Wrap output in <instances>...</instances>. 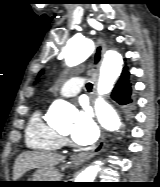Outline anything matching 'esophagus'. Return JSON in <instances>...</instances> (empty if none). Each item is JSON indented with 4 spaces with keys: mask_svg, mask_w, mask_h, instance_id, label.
<instances>
[{
    "mask_svg": "<svg viewBox=\"0 0 160 187\" xmlns=\"http://www.w3.org/2000/svg\"><path fill=\"white\" fill-rule=\"evenodd\" d=\"M105 50H106V45L104 41L102 39H98L96 42V48H95V52L93 56L91 69H90V72H91V75L94 81H96L98 69L102 63ZM105 145H106L105 136L104 134H102L101 139L98 142V144L96 146H93L89 150L78 154L75 157V161L77 163H83V162L90 160L96 154L101 152L105 148Z\"/></svg>",
    "mask_w": 160,
    "mask_h": 187,
    "instance_id": "esophagus-1",
    "label": "esophagus"
}]
</instances>
